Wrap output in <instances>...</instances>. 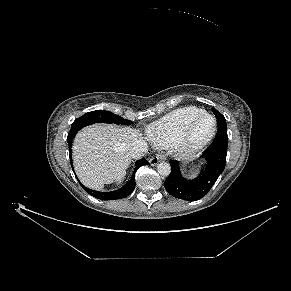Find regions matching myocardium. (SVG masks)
Returning <instances> with one entry per match:
<instances>
[{"label": "myocardium", "mask_w": 291, "mask_h": 291, "mask_svg": "<svg viewBox=\"0 0 291 291\" xmlns=\"http://www.w3.org/2000/svg\"><path fill=\"white\" fill-rule=\"evenodd\" d=\"M205 118H211L213 121V126L211 131L200 140H196L194 138V131L198 124ZM217 130V121L216 118L208 113H204L197 118H195L185 129L182 135L178 138V140L174 143L177 151L182 155H192L197 153L206 147L214 138Z\"/></svg>", "instance_id": "1"}]
</instances>
